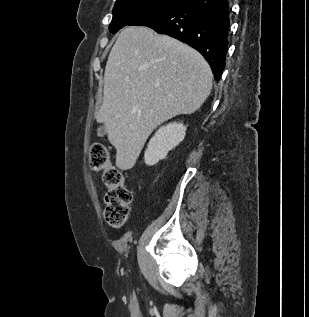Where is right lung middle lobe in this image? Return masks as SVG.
Listing matches in <instances>:
<instances>
[{
    "label": "right lung middle lobe",
    "mask_w": 309,
    "mask_h": 317,
    "mask_svg": "<svg viewBox=\"0 0 309 317\" xmlns=\"http://www.w3.org/2000/svg\"><path fill=\"white\" fill-rule=\"evenodd\" d=\"M181 1L183 0H117L109 30L112 33H116L119 29L146 13Z\"/></svg>",
    "instance_id": "dd1d6c3e"
}]
</instances>
